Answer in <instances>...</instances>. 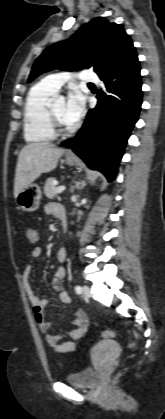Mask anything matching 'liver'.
Here are the masks:
<instances>
[{
  "label": "liver",
  "instance_id": "liver-1",
  "mask_svg": "<svg viewBox=\"0 0 165 419\" xmlns=\"http://www.w3.org/2000/svg\"><path fill=\"white\" fill-rule=\"evenodd\" d=\"M64 149L48 142L31 143L22 148L19 153L14 182V197L34 182L43 173L57 167Z\"/></svg>",
  "mask_w": 165,
  "mask_h": 419
}]
</instances>
